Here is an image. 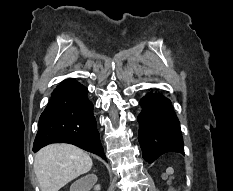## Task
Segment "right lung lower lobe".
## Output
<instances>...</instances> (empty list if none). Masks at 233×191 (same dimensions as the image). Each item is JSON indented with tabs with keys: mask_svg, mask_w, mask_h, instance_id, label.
Returning <instances> with one entry per match:
<instances>
[{
	"mask_svg": "<svg viewBox=\"0 0 233 191\" xmlns=\"http://www.w3.org/2000/svg\"><path fill=\"white\" fill-rule=\"evenodd\" d=\"M87 93V88L74 79L56 87L40 116L34 152L51 143H70L107 161Z\"/></svg>",
	"mask_w": 233,
	"mask_h": 191,
	"instance_id": "right-lung-lower-lobe-1",
	"label": "right lung lower lobe"
}]
</instances>
